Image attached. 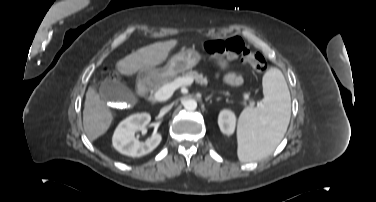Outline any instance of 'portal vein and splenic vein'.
Returning <instances> with one entry per match:
<instances>
[{
	"label": "portal vein and splenic vein",
	"instance_id": "1",
	"mask_svg": "<svg viewBox=\"0 0 376 202\" xmlns=\"http://www.w3.org/2000/svg\"><path fill=\"white\" fill-rule=\"evenodd\" d=\"M193 83L191 78H178L173 82L162 86L154 94V99L156 101L162 102L168 100L174 93V91L182 86H189ZM248 97V94H245Z\"/></svg>",
	"mask_w": 376,
	"mask_h": 202
}]
</instances>
